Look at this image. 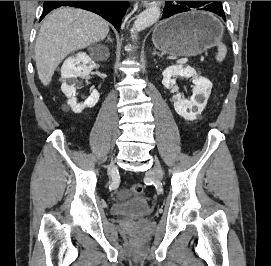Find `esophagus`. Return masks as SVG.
Wrapping results in <instances>:
<instances>
[{
	"instance_id": "esophagus-1",
	"label": "esophagus",
	"mask_w": 271,
	"mask_h": 266,
	"mask_svg": "<svg viewBox=\"0 0 271 266\" xmlns=\"http://www.w3.org/2000/svg\"><path fill=\"white\" fill-rule=\"evenodd\" d=\"M162 1H142V5L144 7L154 6V5H160Z\"/></svg>"
}]
</instances>
